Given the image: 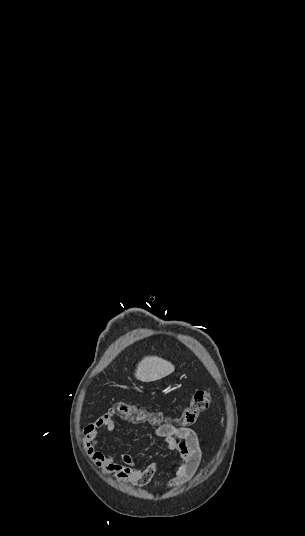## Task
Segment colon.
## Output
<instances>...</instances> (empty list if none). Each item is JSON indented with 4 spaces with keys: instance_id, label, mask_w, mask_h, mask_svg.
<instances>
[{
    "instance_id": "obj_1",
    "label": "colon",
    "mask_w": 305,
    "mask_h": 536,
    "mask_svg": "<svg viewBox=\"0 0 305 536\" xmlns=\"http://www.w3.org/2000/svg\"><path fill=\"white\" fill-rule=\"evenodd\" d=\"M211 402L210 393L207 390H198L194 394L191 403L184 409L179 423L183 426L190 427L197 423L199 416L208 410ZM115 414L118 420H123L124 417L131 420H142L145 417L153 420L166 422L167 419L162 417V412H148L145 409L139 408L129 402H120L115 406Z\"/></svg>"
}]
</instances>
